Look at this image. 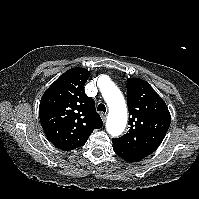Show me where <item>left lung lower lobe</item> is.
Returning <instances> with one entry per match:
<instances>
[{
    "label": "left lung lower lobe",
    "instance_id": "1",
    "mask_svg": "<svg viewBox=\"0 0 199 199\" xmlns=\"http://www.w3.org/2000/svg\"><path fill=\"white\" fill-rule=\"evenodd\" d=\"M113 150L118 156L129 162H138L144 158L141 155L133 153L132 151L126 149L116 142H113Z\"/></svg>",
    "mask_w": 199,
    "mask_h": 199
}]
</instances>
